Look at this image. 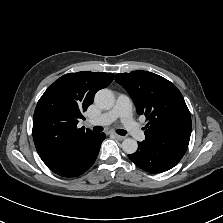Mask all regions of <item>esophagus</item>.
Returning a JSON list of instances; mask_svg holds the SVG:
<instances>
[{
	"label": "esophagus",
	"instance_id": "34e87169",
	"mask_svg": "<svg viewBox=\"0 0 223 223\" xmlns=\"http://www.w3.org/2000/svg\"><path fill=\"white\" fill-rule=\"evenodd\" d=\"M114 137H115V139L118 140V141H122V140H124V138H125L124 136H120V135H117V134H115Z\"/></svg>",
	"mask_w": 223,
	"mask_h": 223
}]
</instances>
